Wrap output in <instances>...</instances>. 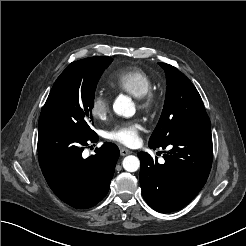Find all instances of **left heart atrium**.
I'll return each instance as SVG.
<instances>
[{"mask_svg": "<svg viewBox=\"0 0 246 246\" xmlns=\"http://www.w3.org/2000/svg\"><path fill=\"white\" fill-rule=\"evenodd\" d=\"M140 130L138 122H125L108 131L106 137L126 146H134L139 142Z\"/></svg>", "mask_w": 246, "mask_h": 246, "instance_id": "39dd6f15", "label": "left heart atrium"}]
</instances>
